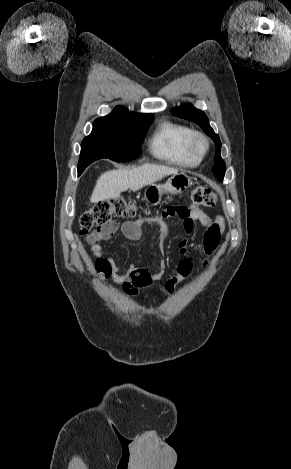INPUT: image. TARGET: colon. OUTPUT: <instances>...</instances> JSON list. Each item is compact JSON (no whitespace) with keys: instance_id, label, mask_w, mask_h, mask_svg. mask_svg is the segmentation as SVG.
Instances as JSON below:
<instances>
[{"instance_id":"5ec220e1","label":"colon","mask_w":291,"mask_h":469,"mask_svg":"<svg viewBox=\"0 0 291 469\" xmlns=\"http://www.w3.org/2000/svg\"><path fill=\"white\" fill-rule=\"evenodd\" d=\"M194 204L204 207H214L218 202L216 193L204 186L196 187L191 192ZM134 201L118 197L96 203L91 209L84 212L80 218V232L87 237L98 239L110 230L113 218H129L137 213ZM169 216L183 214L185 208L170 207L165 211ZM96 268H105L102 261L95 262Z\"/></svg>"}]
</instances>
